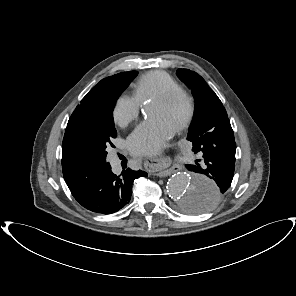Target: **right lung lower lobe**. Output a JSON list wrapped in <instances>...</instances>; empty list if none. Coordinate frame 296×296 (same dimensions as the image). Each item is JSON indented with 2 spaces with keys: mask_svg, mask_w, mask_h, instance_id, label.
<instances>
[{
  "mask_svg": "<svg viewBox=\"0 0 296 296\" xmlns=\"http://www.w3.org/2000/svg\"><path fill=\"white\" fill-rule=\"evenodd\" d=\"M142 176L147 177V173L130 168L123 171L122 176H116L110 164L105 163L68 187L84 208L95 213L112 214L130 202L133 182Z\"/></svg>",
  "mask_w": 296,
  "mask_h": 296,
  "instance_id": "right-lung-lower-lobe-1",
  "label": "right lung lower lobe"
}]
</instances>
